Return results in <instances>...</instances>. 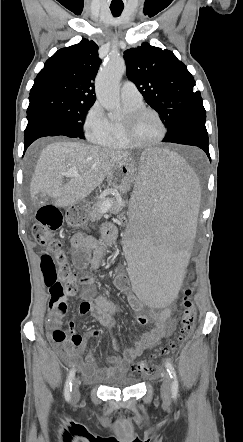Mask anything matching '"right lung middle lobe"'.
Returning a JSON list of instances; mask_svg holds the SVG:
<instances>
[{"label":"right lung middle lobe","mask_w":243,"mask_h":442,"mask_svg":"<svg viewBox=\"0 0 243 442\" xmlns=\"http://www.w3.org/2000/svg\"><path fill=\"white\" fill-rule=\"evenodd\" d=\"M27 118L44 116L63 124L77 137L85 139L83 125L87 111L93 105L60 94H44L29 97Z\"/></svg>","instance_id":"right-lung-middle-lobe-1"}]
</instances>
